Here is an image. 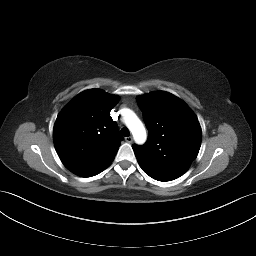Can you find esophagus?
<instances>
[{
	"mask_svg": "<svg viewBox=\"0 0 256 256\" xmlns=\"http://www.w3.org/2000/svg\"><path fill=\"white\" fill-rule=\"evenodd\" d=\"M126 142L132 143L133 138L131 136L125 138Z\"/></svg>",
	"mask_w": 256,
	"mask_h": 256,
	"instance_id": "obj_1",
	"label": "esophagus"
}]
</instances>
